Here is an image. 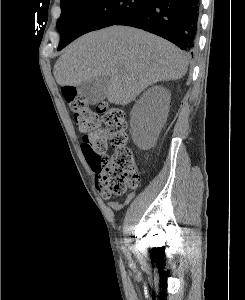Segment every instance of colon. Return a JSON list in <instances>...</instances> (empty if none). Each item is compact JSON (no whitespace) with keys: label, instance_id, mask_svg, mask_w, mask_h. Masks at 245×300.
Segmentation results:
<instances>
[{"label":"colon","instance_id":"1","mask_svg":"<svg viewBox=\"0 0 245 300\" xmlns=\"http://www.w3.org/2000/svg\"><path fill=\"white\" fill-rule=\"evenodd\" d=\"M63 95L74 114V120L83 133V154L96 173V185L109 198L136 188L140 176L132 151L127 146L129 136L124 112L106 102L90 108L86 97L75 87L63 89ZM110 143L114 152L106 155Z\"/></svg>","mask_w":245,"mask_h":300}]
</instances>
